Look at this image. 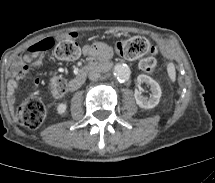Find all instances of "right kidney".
<instances>
[{
    "instance_id": "obj_1",
    "label": "right kidney",
    "mask_w": 215,
    "mask_h": 183,
    "mask_svg": "<svg viewBox=\"0 0 215 183\" xmlns=\"http://www.w3.org/2000/svg\"><path fill=\"white\" fill-rule=\"evenodd\" d=\"M67 110V104L66 103H60L57 106V113L62 115L66 112Z\"/></svg>"
}]
</instances>
